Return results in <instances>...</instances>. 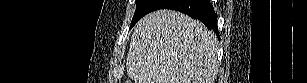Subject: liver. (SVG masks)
<instances>
[{
    "label": "liver",
    "mask_w": 307,
    "mask_h": 83,
    "mask_svg": "<svg viewBox=\"0 0 307 83\" xmlns=\"http://www.w3.org/2000/svg\"><path fill=\"white\" fill-rule=\"evenodd\" d=\"M217 52L216 35L200 21L161 9L137 23L126 70L134 83H214Z\"/></svg>",
    "instance_id": "obj_1"
}]
</instances>
